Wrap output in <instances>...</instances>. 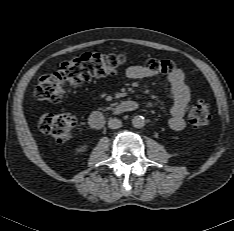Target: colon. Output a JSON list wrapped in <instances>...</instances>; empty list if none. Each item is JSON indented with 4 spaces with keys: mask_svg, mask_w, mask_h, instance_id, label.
<instances>
[{
    "mask_svg": "<svg viewBox=\"0 0 234 231\" xmlns=\"http://www.w3.org/2000/svg\"><path fill=\"white\" fill-rule=\"evenodd\" d=\"M119 54L84 53L63 62L57 71L43 75L34 95L39 100L59 101L68 88L87 82L94 77L113 74L124 64ZM145 66L158 74H170L174 65L168 60L148 59ZM189 121L194 127H203L210 122V112L204 100L196 101L189 113ZM77 117L73 111L45 114L40 119V129L51 136L55 142L64 143L71 137Z\"/></svg>",
    "mask_w": 234,
    "mask_h": 231,
    "instance_id": "5ec220e1",
    "label": "colon"
}]
</instances>
